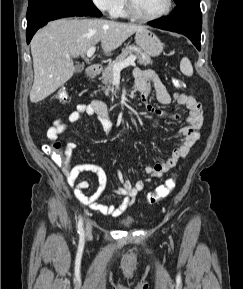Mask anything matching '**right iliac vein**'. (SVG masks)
Instances as JSON below:
<instances>
[{"label": "right iliac vein", "mask_w": 243, "mask_h": 289, "mask_svg": "<svg viewBox=\"0 0 243 289\" xmlns=\"http://www.w3.org/2000/svg\"><path fill=\"white\" fill-rule=\"evenodd\" d=\"M92 234V226L90 223H87L86 225V237H90Z\"/></svg>", "instance_id": "1"}]
</instances>
